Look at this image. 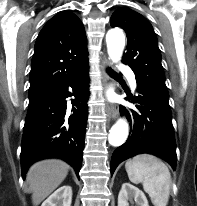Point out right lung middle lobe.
Returning <instances> with one entry per match:
<instances>
[{
	"label": "right lung middle lobe",
	"mask_w": 197,
	"mask_h": 206,
	"mask_svg": "<svg viewBox=\"0 0 197 206\" xmlns=\"http://www.w3.org/2000/svg\"><path fill=\"white\" fill-rule=\"evenodd\" d=\"M50 91H33L29 92V104L34 103L40 99H42L44 96L49 94Z\"/></svg>",
	"instance_id": "right-lung-middle-lobe-1"
}]
</instances>
